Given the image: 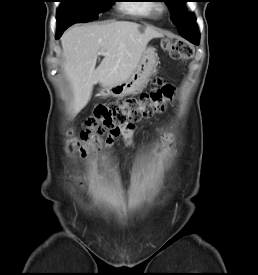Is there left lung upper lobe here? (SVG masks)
I'll return each mask as SVG.
<instances>
[{
  "instance_id": "5c2ea615",
  "label": "left lung upper lobe",
  "mask_w": 258,
  "mask_h": 275,
  "mask_svg": "<svg viewBox=\"0 0 258 275\" xmlns=\"http://www.w3.org/2000/svg\"><path fill=\"white\" fill-rule=\"evenodd\" d=\"M171 11L173 22L178 28V32H185L187 29L197 26L195 17L188 13L185 8L187 0H164Z\"/></svg>"
}]
</instances>
